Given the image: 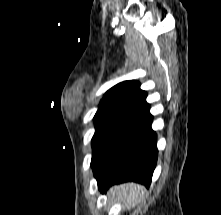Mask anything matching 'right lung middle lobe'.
Returning <instances> with one entry per match:
<instances>
[{
	"label": "right lung middle lobe",
	"instance_id": "dd1d6c3e",
	"mask_svg": "<svg viewBox=\"0 0 221 215\" xmlns=\"http://www.w3.org/2000/svg\"><path fill=\"white\" fill-rule=\"evenodd\" d=\"M137 113L136 109L121 105H99L94 116L95 134L92 138L93 166L113 135Z\"/></svg>",
	"mask_w": 221,
	"mask_h": 215
}]
</instances>
